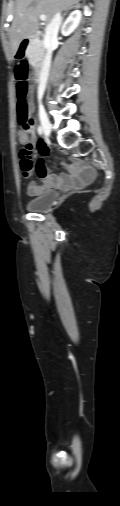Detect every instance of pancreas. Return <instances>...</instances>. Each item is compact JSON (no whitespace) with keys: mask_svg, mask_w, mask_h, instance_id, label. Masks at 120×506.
I'll return each instance as SVG.
<instances>
[{"mask_svg":"<svg viewBox=\"0 0 120 506\" xmlns=\"http://www.w3.org/2000/svg\"><path fill=\"white\" fill-rule=\"evenodd\" d=\"M43 54H44L43 42L38 39L31 41L26 52L29 61L38 62L43 57Z\"/></svg>","mask_w":120,"mask_h":506,"instance_id":"1","label":"pancreas"}]
</instances>
